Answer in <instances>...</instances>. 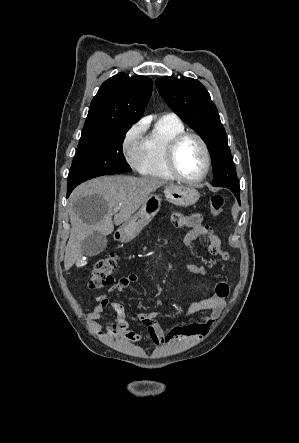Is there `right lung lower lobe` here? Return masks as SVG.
<instances>
[{
	"label": "right lung lower lobe",
	"instance_id": "1",
	"mask_svg": "<svg viewBox=\"0 0 299 443\" xmlns=\"http://www.w3.org/2000/svg\"><path fill=\"white\" fill-rule=\"evenodd\" d=\"M76 186H69V187H67V197L70 195V193L73 191V189L75 188Z\"/></svg>",
	"mask_w": 299,
	"mask_h": 443
}]
</instances>
